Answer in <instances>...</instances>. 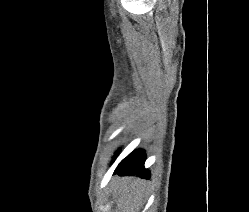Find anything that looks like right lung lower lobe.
<instances>
[{"label":"right lung lower lobe","instance_id":"obj_1","mask_svg":"<svg viewBox=\"0 0 249 212\" xmlns=\"http://www.w3.org/2000/svg\"><path fill=\"white\" fill-rule=\"evenodd\" d=\"M145 153L143 151H134L123 159L114 171V174L120 176L139 175L142 178H148L150 172L144 168Z\"/></svg>","mask_w":249,"mask_h":212}]
</instances>
